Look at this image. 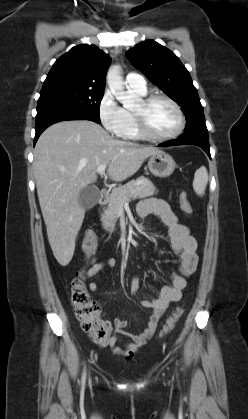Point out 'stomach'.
<instances>
[{
    "mask_svg": "<svg viewBox=\"0 0 248 419\" xmlns=\"http://www.w3.org/2000/svg\"><path fill=\"white\" fill-rule=\"evenodd\" d=\"M176 167L173 158L165 153L158 152L150 156L148 160V168L150 172L157 177L165 178L170 176Z\"/></svg>",
    "mask_w": 248,
    "mask_h": 419,
    "instance_id": "1",
    "label": "stomach"
}]
</instances>
